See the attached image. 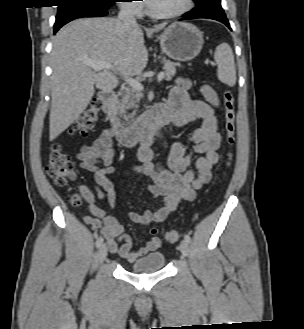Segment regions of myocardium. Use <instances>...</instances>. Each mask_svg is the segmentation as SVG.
I'll return each instance as SVG.
<instances>
[{
	"mask_svg": "<svg viewBox=\"0 0 304 329\" xmlns=\"http://www.w3.org/2000/svg\"><path fill=\"white\" fill-rule=\"evenodd\" d=\"M193 5H194V0H185L183 7L176 11L158 13V12L153 11L147 3L146 13L150 17H152L154 19H158V20L175 19V18L181 17V16L185 15L186 13H188L193 8Z\"/></svg>",
	"mask_w": 304,
	"mask_h": 329,
	"instance_id": "myocardium-1",
	"label": "myocardium"
}]
</instances>
